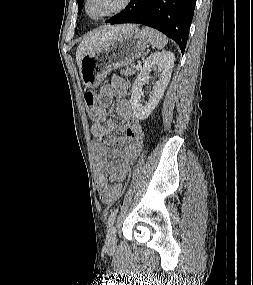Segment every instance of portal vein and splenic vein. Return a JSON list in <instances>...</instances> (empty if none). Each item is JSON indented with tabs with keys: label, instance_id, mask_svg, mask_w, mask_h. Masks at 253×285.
Listing matches in <instances>:
<instances>
[{
	"label": "portal vein and splenic vein",
	"instance_id": "portal-vein-and-splenic-vein-1",
	"mask_svg": "<svg viewBox=\"0 0 253 285\" xmlns=\"http://www.w3.org/2000/svg\"><path fill=\"white\" fill-rule=\"evenodd\" d=\"M141 68V63H138L136 66V69H140Z\"/></svg>",
	"mask_w": 253,
	"mask_h": 285
}]
</instances>
